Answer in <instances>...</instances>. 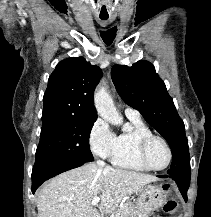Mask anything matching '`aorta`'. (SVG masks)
Masks as SVG:
<instances>
[{
    "mask_svg": "<svg viewBox=\"0 0 211 217\" xmlns=\"http://www.w3.org/2000/svg\"><path fill=\"white\" fill-rule=\"evenodd\" d=\"M94 103L98 114L113 125H122L123 118L118 113L107 88L101 86L94 95Z\"/></svg>",
    "mask_w": 211,
    "mask_h": 217,
    "instance_id": "1",
    "label": "aorta"
}]
</instances>
